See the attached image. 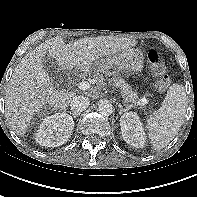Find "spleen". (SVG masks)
<instances>
[{
	"mask_svg": "<svg viewBox=\"0 0 197 197\" xmlns=\"http://www.w3.org/2000/svg\"><path fill=\"white\" fill-rule=\"evenodd\" d=\"M186 92L183 85L169 87L162 106L147 119L150 143L154 150H161L178 133L186 113Z\"/></svg>",
	"mask_w": 197,
	"mask_h": 197,
	"instance_id": "spleen-1",
	"label": "spleen"
}]
</instances>
